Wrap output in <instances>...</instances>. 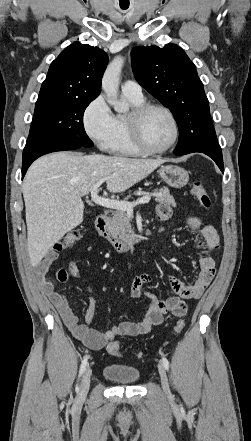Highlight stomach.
<instances>
[{
  "label": "stomach",
  "instance_id": "obj_1",
  "mask_svg": "<svg viewBox=\"0 0 251 441\" xmlns=\"http://www.w3.org/2000/svg\"><path fill=\"white\" fill-rule=\"evenodd\" d=\"M162 180L173 188H182L189 181L188 172L176 165H166L159 169Z\"/></svg>",
  "mask_w": 251,
  "mask_h": 441
}]
</instances>
